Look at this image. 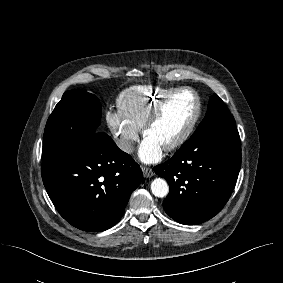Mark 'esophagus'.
Here are the masks:
<instances>
[{"instance_id":"obj_1","label":"esophagus","mask_w":283,"mask_h":283,"mask_svg":"<svg viewBox=\"0 0 283 283\" xmlns=\"http://www.w3.org/2000/svg\"><path fill=\"white\" fill-rule=\"evenodd\" d=\"M143 175L146 178H150L154 175V171L148 167H142Z\"/></svg>"}]
</instances>
